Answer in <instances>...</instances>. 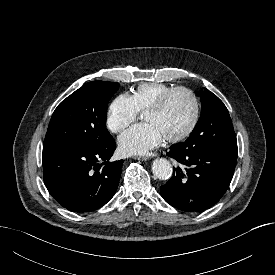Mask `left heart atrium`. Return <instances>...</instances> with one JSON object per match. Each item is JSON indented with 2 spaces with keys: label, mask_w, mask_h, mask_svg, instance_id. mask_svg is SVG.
<instances>
[{
  "label": "left heart atrium",
  "mask_w": 275,
  "mask_h": 275,
  "mask_svg": "<svg viewBox=\"0 0 275 275\" xmlns=\"http://www.w3.org/2000/svg\"><path fill=\"white\" fill-rule=\"evenodd\" d=\"M164 136L153 123L137 124L123 132L119 139V149L127 155H143L159 146Z\"/></svg>",
  "instance_id": "39dd6f15"
}]
</instances>
